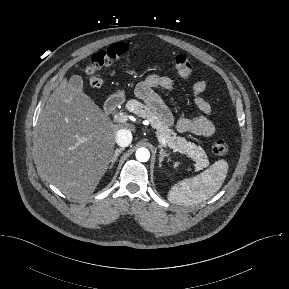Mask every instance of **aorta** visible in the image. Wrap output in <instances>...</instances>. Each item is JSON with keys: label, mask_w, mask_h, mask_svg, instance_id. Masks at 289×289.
I'll return each mask as SVG.
<instances>
[{"label": "aorta", "mask_w": 289, "mask_h": 289, "mask_svg": "<svg viewBox=\"0 0 289 289\" xmlns=\"http://www.w3.org/2000/svg\"><path fill=\"white\" fill-rule=\"evenodd\" d=\"M150 158V152L146 148H139L136 151V159L140 162H147Z\"/></svg>", "instance_id": "1"}]
</instances>
